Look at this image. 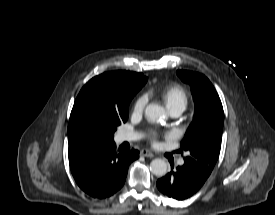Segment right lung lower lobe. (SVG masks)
<instances>
[{
	"label": "right lung lower lobe",
	"instance_id": "right-lung-lower-lobe-1",
	"mask_svg": "<svg viewBox=\"0 0 275 215\" xmlns=\"http://www.w3.org/2000/svg\"><path fill=\"white\" fill-rule=\"evenodd\" d=\"M69 164L78 186L88 195L103 199L124 185L130 163L139 151H116L114 141L69 148Z\"/></svg>",
	"mask_w": 275,
	"mask_h": 215
}]
</instances>
